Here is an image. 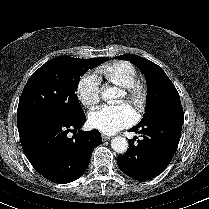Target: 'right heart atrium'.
<instances>
[{"instance_id":"right-heart-atrium-1","label":"right heart atrium","mask_w":209,"mask_h":209,"mask_svg":"<svg viewBox=\"0 0 209 209\" xmlns=\"http://www.w3.org/2000/svg\"><path fill=\"white\" fill-rule=\"evenodd\" d=\"M100 78L92 72L84 74L76 88L80 102L88 108L95 106L100 100Z\"/></svg>"}]
</instances>
